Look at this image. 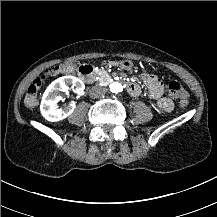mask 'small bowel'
<instances>
[{
  "mask_svg": "<svg viewBox=\"0 0 217 217\" xmlns=\"http://www.w3.org/2000/svg\"><path fill=\"white\" fill-rule=\"evenodd\" d=\"M142 82L149 86L152 90L151 97L157 99V107L159 110L163 112H171L173 110V103L169 98L162 96V85L161 81L158 77L154 75H142L141 76ZM140 93V89L137 93L132 94V96H138Z\"/></svg>",
  "mask_w": 217,
  "mask_h": 217,
  "instance_id": "small-bowel-1",
  "label": "small bowel"
}]
</instances>
